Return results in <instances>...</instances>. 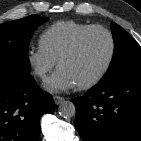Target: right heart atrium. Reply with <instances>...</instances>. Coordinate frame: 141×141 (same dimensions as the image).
I'll list each match as a JSON object with an SVG mask.
<instances>
[{
	"mask_svg": "<svg viewBox=\"0 0 141 141\" xmlns=\"http://www.w3.org/2000/svg\"><path fill=\"white\" fill-rule=\"evenodd\" d=\"M26 60L32 74L39 79L45 78L56 65V60L40 45L32 46L27 50Z\"/></svg>",
	"mask_w": 141,
	"mask_h": 141,
	"instance_id": "obj_1",
	"label": "right heart atrium"
}]
</instances>
